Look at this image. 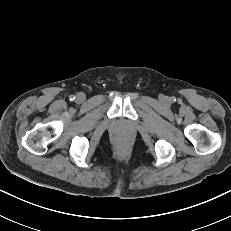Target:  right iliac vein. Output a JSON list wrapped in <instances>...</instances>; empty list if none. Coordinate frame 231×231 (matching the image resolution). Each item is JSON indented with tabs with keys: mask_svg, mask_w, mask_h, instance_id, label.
<instances>
[{
	"mask_svg": "<svg viewBox=\"0 0 231 231\" xmlns=\"http://www.w3.org/2000/svg\"><path fill=\"white\" fill-rule=\"evenodd\" d=\"M85 94L80 92L76 95V101L81 103V102H84L85 101Z\"/></svg>",
	"mask_w": 231,
	"mask_h": 231,
	"instance_id": "1",
	"label": "right iliac vein"
}]
</instances>
